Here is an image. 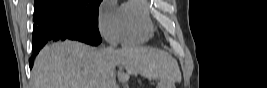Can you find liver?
Instances as JSON below:
<instances>
[{"mask_svg": "<svg viewBox=\"0 0 267 88\" xmlns=\"http://www.w3.org/2000/svg\"><path fill=\"white\" fill-rule=\"evenodd\" d=\"M116 67L120 81L140 74L173 84L181 77L176 60L159 49L129 46L96 50L84 43L64 41L46 46L36 57L33 88H113Z\"/></svg>", "mask_w": 267, "mask_h": 88, "instance_id": "1", "label": "liver"}]
</instances>
